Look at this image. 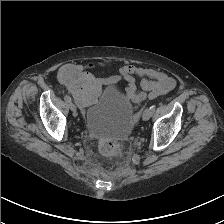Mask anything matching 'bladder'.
<instances>
[{
  "instance_id": "bladder-1",
  "label": "bladder",
  "mask_w": 224,
  "mask_h": 224,
  "mask_svg": "<svg viewBox=\"0 0 224 224\" xmlns=\"http://www.w3.org/2000/svg\"><path fill=\"white\" fill-rule=\"evenodd\" d=\"M132 124L131 101L112 85L106 86L85 112V126L95 136L124 138L130 134Z\"/></svg>"
}]
</instances>
